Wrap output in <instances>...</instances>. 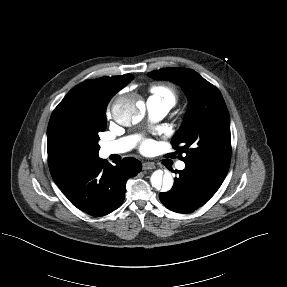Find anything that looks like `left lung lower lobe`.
Segmentation results:
<instances>
[{"mask_svg": "<svg viewBox=\"0 0 287 287\" xmlns=\"http://www.w3.org/2000/svg\"><path fill=\"white\" fill-rule=\"evenodd\" d=\"M175 173H178V177L174 179L172 189L160 193L159 198L164 206L178 213H190L204 205L223 182L205 169L189 164Z\"/></svg>", "mask_w": 287, "mask_h": 287, "instance_id": "left-lung-lower-lobe-1", "label": "left lung lower lobe"}]
</instances>
